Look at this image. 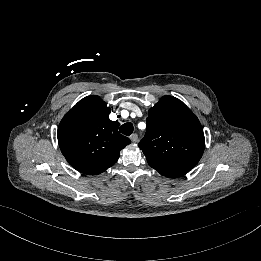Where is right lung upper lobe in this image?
Segmentation results:
<instances>
[{"label": "right lung upper lobe", "mask_w": 261, "mask_h": 261, "mask_svg": "<svg viewBox=\"0 0 261 261\" xmlns=\"http://www.w3.org/2000/svg\"><path fill=\"white\" fill-rule=\"evenodd\" d=\"M110 108L97 95L80 100L61 120L57 136L66 160L79 172L100 174L116 163L130 144L109 119Z\"/></svg>", "instance_id": "1"}]
</instances>
